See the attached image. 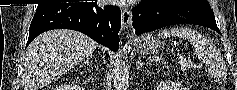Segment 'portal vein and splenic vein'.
Listing matches in <instances>:
<instances>
[{"mask_svg":"<svg viewBox=\"0 0 237 90\" xmlns=\"http://www.w3.org/2000/svg\"><path fill=\"white\" fill-rule=\"evenodd\" d=\"M180 66H182L183 70L186 68L187 64L186 62H179Z\"/></svg>","mask_w":237,"mask_h":90,"instance_id":"portal-vein-and-splenic-vein-1","label":"portal vein and splenic vein"}]
</instances>
